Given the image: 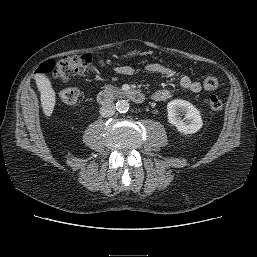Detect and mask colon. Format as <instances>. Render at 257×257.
Listing matches in <instances>:
<instances>
[{"label": "colon", "instance_id": "1", "mask_svg": "<svg viewBox=\"0 0 257 257\" xmlns=\"http://www.w3.org/2000/svg\"><path fill=\"white\" fill-rule=\"evenodd\" d=\"M93 71L92 58L90 55L66 56L58 60H47L39 68L40 73L52 74L57 79L67 82L76 74H90ZM218 80L213 76H207L203 81L206 91L212 92L218 88ZM79 91L68 88L60 93V99L66 104H75L79 100ZM210 109L214 112L220 111L223 107L221 98L215 94L209 98Z\"/></svg>", "mask_w": 257, "mask_h": 257}]
</instances>
